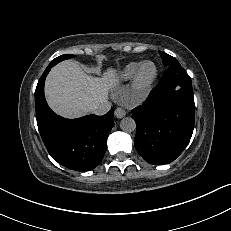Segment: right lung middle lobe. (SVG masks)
Returning <instances> with one entry per match:
<instances>
[{"mask_svg": "<svg viewBox=\"0 0 231 231\" xmlns=\"http://www.w3.org/2000/svg\"><path fill=\"white\" fill-rule=\"evenodd\" d=\"M74 55H70V54H65V55H62V56H59L57 58H55L52 62H54L55 64L65 60V59H69L71 57H73Z\"/></svg>", "mask_w": 231, "mask_h": 231, "instance_id": "1", "label": "right lung middle lobe"}]
</instances>
